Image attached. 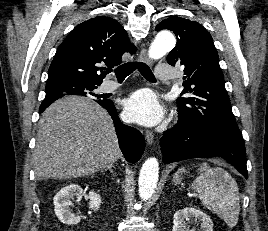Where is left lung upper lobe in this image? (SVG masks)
I'll return each mask as SVG.
<instances>
[{
    "instance_id": "5c2ea615",
    "label": "left lung upper lobe",
    "mask_w": 268,
    "mask_h": 231,
    "mask_svg": "<svg viewBox=\"0 0 268 231\" xmlns=\"http://www.w3.org/2000/svg\"><path fill=\"white\" fill-rule=\"evenodd\" d=\"M162 29L173 31L177 37L167 62L184 68L181 96H186L177 100L179 121L187 126L220 130L243 140L209 32L198 22L181 17L164 19L155 28Z\"/></svg>"
}]
</instances>
